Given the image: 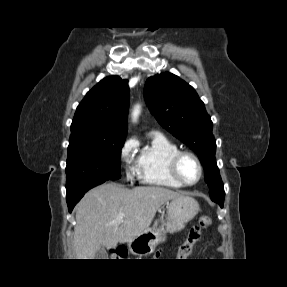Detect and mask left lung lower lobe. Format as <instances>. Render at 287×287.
<instances>
[{
    "label": "left lung lower lobe",
    "mask_w": 287,
    "mask_h": 287,
    "mask_svg": "<svg viewBox=\"0 0 287 287\" xmlns=\"http://www.w3.org/2000/svg\"><path fill=\"white\" fill-rule=\"evenodd\" d=\"M217 203V202H216ZM221 207H223V203H218Z\"/></svg>",
    "instance_id": "obj_1"
}]
</instances>
